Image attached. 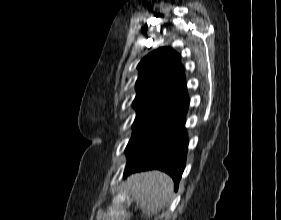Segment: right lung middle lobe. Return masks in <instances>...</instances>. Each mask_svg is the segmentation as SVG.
<instances>
[{
  "label": "right lung middle lobe",
  "mask_w": 281,
  "mask_h": 220,
  "mask_svg": "<svg viewBox=\"0 0 281 220\" xmlns=\"http://www.w3.org/2000/svg\"><path fill=\"white\" fill-rule=\"evenodd\" d=\"M171 121L167 118H136L126 147L128 162L138 155Z\"/></svg>",
  "instance_id": "obj_1"
}]
</instances>
